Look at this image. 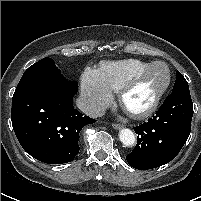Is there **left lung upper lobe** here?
I'll return each mask as SVG.
<instances>
[{
    "label": "left lung upper lobe",
    "instance_id": "5c2ea615",
    "mask_svg": "<svg viewBox=\"0 0 201 201\" xmlns=\"http://www.w3.org/2000/svg\"><path fill=\"white\" fill-rule=\"evenodd\" d=\"M176 74H177V79L175 81L172 92L180 90V89H189L188 83L186 79L184 78V76L179 71H177Z\"/></svg>",
    "mask_w": 201,
    "mask_h": 201
}]
</instances>
